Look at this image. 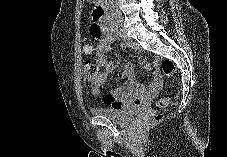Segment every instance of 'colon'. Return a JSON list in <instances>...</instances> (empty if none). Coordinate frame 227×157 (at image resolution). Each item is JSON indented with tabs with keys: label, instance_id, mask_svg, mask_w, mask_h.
<instances>
[{
	"label": "colon",
	"instance_id": "colon-1",
	"mask_svg": "<svg viewBox=\"0 0 227 157\" xmlns=\"http://www.w3.org/2000/svg\"><path fill=\"white\" fill-rule=\"evenodd\" d=\"M92 16H96L95 11L93 12ZM95 38L100 36V32H92ZM161 69L165 76L171 77L175 74V65L171 60L165 59L161 63ZM83 74H84V81L85 84L91 86L94 84L97 76L99 75V67L93 64L90 61L84 63L83 66ZM171 105V100L168 97L161 98L157 101V106L159 108H164ZM162 119V115L158 114L155 116V121H160Z\"/></svg>",
	"mask_w": 227,
	"mask_h": 157
}]
</instances>
